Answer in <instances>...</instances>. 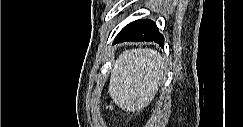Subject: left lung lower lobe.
Here are the masks:
<instances>
[{"instance_id": "0a47b994", "label": "left lung lower lobe", "mask_w": 243, "mask_h": 127, "mask_svg": "<svg viewBox=\"0 0 243 127\" xmlns=\"http://www.w3.org/2000/svg\"><path fill=\"white\" fill-rule=\"evenodd\" d=\"M125 41H154L164 46V37L159 33L155 22L149 19L136 20L126 25L116 36L113 44Z\"/></svg>"}]
</instances>
